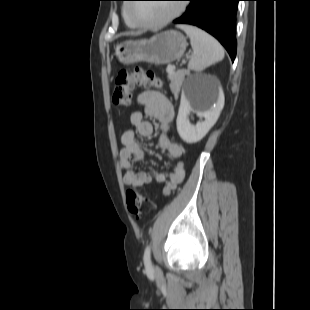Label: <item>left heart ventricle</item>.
Segmentation results:
<instances>
[{"instance_id":"1","label":"left heart ventricle","mask_w":310,"mask_h":310,"mask_svg":"<svg viewBox=\"0 0 310 310\" xmlns=\"http://www.w3.org/2000/svg\"><path fill=\"white\" fill-rule=\"evenodd\" d=\"M176 7L169 3L133 4L130 7V14L140 21L155 23L173 14Z\"/></svg>"}]
</instances>
